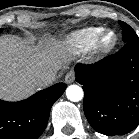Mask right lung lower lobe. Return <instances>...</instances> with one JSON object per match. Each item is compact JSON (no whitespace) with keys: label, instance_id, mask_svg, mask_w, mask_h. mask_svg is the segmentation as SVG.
<instances>
[{"label":"right lung lower lobe","instance_id":"obj_1","mask_svg":"<svg viewBox=\"0 0 139 139\" xmlns=\"http://www.w3.org/2000/svg\"><path fill=\"white\" fill-rule=\"evenodd\" d=\"M66 87L57 83L23 101L0 100V139H37L46 128L52 105Z\"/></svg>","mask_w":139,"mask_h":139}]
</instances>
